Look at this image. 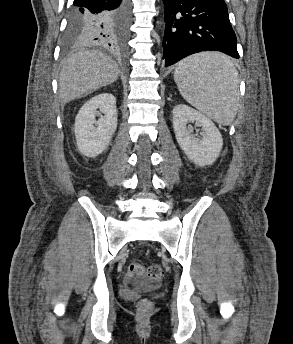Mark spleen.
<instances>
[{
    "label": "spleen",
    "mask_w": 293,
    "mask_h": 344,
    "mask_svg": "<svg viewBox=\"0 0 293 344\" xmlns=\"http://www.w3.org/2000/svg\"><path fill=\"white\" fill-rule=\"evenodd\" d=\"M180 94L219 124L229 125L239 99L238 72L226 55L203 52L180 61L174 72Z\"/></svg>",
    "instance_id": "3e777b00"
}]
</instances>
